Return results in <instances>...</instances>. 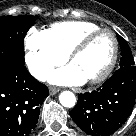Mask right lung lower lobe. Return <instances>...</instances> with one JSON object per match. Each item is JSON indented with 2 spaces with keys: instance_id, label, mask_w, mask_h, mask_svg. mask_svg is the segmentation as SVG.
Masks as SVG:
<instances>
[{
  "instance_id": "1",
  "label": "right lung lower lobe",
  "mask_w": 136,
  "mask_h": 136,
  "mask_svg": "<svg viewBox=\"0 0 136 136\" xmlns=\"http://www.w3.org/2000/svg\"><path fill=\"white\" fill-rule=\"evenodd\" d=\"M48 95L24 65L0 64V136H28Z\"/></svg>"
}]
</instances>
